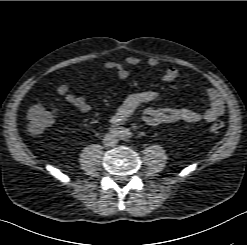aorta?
I'll list each match as a JSON object with an SVG mask.
<instances>
[{
	"instance_id": "762f6f07",
	"label": "aorta",
	"mask_w": 247,
	"mask_h": 245,
	"mask_svg": "<svg viewBox=\"0 0 247 245\" xmlns=\"http://www.w3.org/2000/svg\"><path fill=\"white\" fill-rule=\"evenodd\" d=\"M125 136L129 137L130 136V132L129 131L125 132Z\"/></svg>"
}]
</instances>
